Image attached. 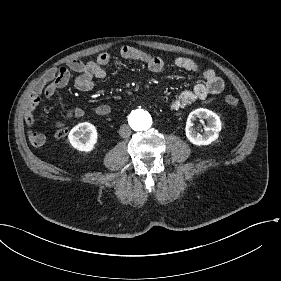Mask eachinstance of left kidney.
Here are the masks:
<instances>
[{
	"label": "left kidney",
	"mask_w": 281,
	"mask_h": 281,
	"mask_svg": "<svg viewBox=\"0 0 281 281\" xmlns=\"http://www.w3.org/2000/svg\"><path fill=\"white\" fill-rule=\"evenodd\" d=\"M203 119L208 122V127L203 135L198 134L192 128L196 119ZM222 131V123L219 116L211 110L198 108L190 113L187 118L185 135L186 138L196 146H207L219 138Z\"/></svg>",
	"instance_id": "1"
}]
</instances>
